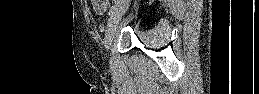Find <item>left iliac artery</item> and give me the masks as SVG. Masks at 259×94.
<instances>
[{
  "label": "left iliac artery",
  "instance_id": "obj_1",
  "mask_svg": "<svg viewBox=\"0 0 259 94\" xmlns=\"http://www.w3.org/2000/svg\"><path fill=\"white\" fill-rule=\"evenodd\" d=\"M116 10H117V5H113L109 10L108 15H112Z\"/></svg>",
  "mask_w": 259,
  "mask_h": 94
}]
</instances>
